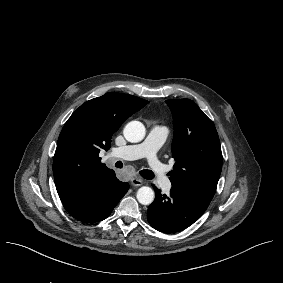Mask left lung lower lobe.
Wrapping results in <instances>:
<instances>
[{
	"label": "left lung lower lobe",
	"instance_id": "obj_1",
	"mask_svg": "<svg viewBox=\"0 0 283 283\" xmlns=\"http://www.w3.org/2000/svg\"><path fill=\"white\" fill-rule=\"evenodd\" d=\"M155 200L149 205L148 222L158 231L175 233L192 225L207 209L209 203L199 197L173 186L170 195H162L153 186Z\"/></svg>",
	"mask_w": 283,
	"mask_h": 283
}]
</instances>
